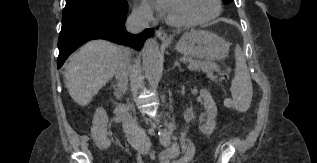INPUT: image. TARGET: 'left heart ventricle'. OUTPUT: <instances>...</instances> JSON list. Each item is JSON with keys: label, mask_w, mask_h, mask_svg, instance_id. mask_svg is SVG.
Masks as SVG:
<instances>
[{"label": "left heart ventricle", "mask_w": 317, "mask_h": 163, "mask_svg": "<svg viewBox=\"0 0 317 163\" xmlns=\"http://www.w3.org/2000/svg\"><path fill=\"white\" fill-rule=\"evenodd\" d=\"M164 9L176 21L189 22L209 16L213 0H164Z\"/></svg>", "instance_id": "left-heart-ventricle-1"}]
</instances>
